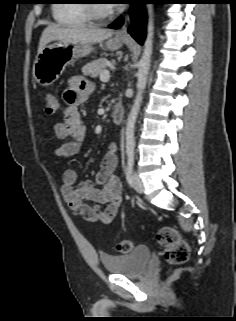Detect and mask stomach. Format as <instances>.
Returning a JSON list of instances; mask_svg holds the SVG:
<instances>
[{"instance_id":"stomach-1","label":"stomach","mask_w":236,"mask_h":321,"mask_svg":"<svg viewBox=\"0 0 236 321\" xmlns=\"http://www.w3.org/2000/svg\"><path fill=\"white\" fill-rule=\"evenodd\" d=\"M122 44L123 41L112 38L105 43L100 42V47L114 51L118 50ZM94 49L92 44L62 41L44 47L37 54L33 64V76L36 82L42 86L53 84L68 64L86 57Z\"/></svg>"}]
</instances>
